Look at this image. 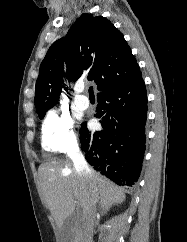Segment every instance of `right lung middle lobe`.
Returning <instances> with one entry per match:
<instances>
[{"label":"right lung middle lobe","mask_w":187,"mask_h":242,"mask_svg":"<svg viewBox=\"0 0 187 242\" xmlns=\"http://www.w3.org/2000/svg\"><path fill=\"white\" fill-rule=\"evenodd\" d=\"M46 112H43L42 114L39 115L40 119H42L44 117V115H45Z\"/></svg>","instance_id":"right-lung-middle-lobe-1"}]
</instances>
